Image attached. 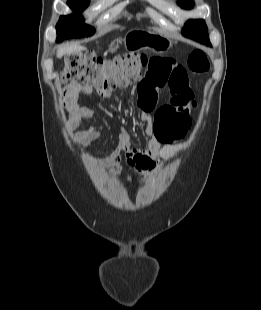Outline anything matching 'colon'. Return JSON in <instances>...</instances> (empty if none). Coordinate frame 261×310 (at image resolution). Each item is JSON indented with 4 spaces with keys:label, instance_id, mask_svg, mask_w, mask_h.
<instances>
[{
    "label": "colon",
    "instance_id": "colon-1",
    "mask_svg": "<svg viewBox=\"0 0 261 310\" xmlns=\"http://www.w3.org/2000/svg\"><path fill=\"white\" fill-rule=\"evenodd\" d=\"M149 64L147 57L127 53L111 59H104L93 53H73L65 58L61 80L70 85L89 86L98 92L126 88L143 82L142 70ZM189 69L196 74L206 73L210 61L205 51L194 50L188 58Z\"/></svg>",
    "mask_w": 261,
    "mask_h": 310
}]
</instances>
